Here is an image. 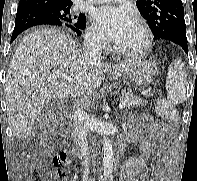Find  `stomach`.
<instances>
[{
  "label": "stomach",
  "mask_w": 197,
  "mask_h": 181,
  "mask_svg": "<svg viewBox=\"0 0 197 181\" xmlns=\"http://www.w3.org/2000/svg\"><path fill=\"white\" fill-rule=\"evenodd\" d=\"M158 73V67L151 60H134L127 73L130 80L138 87L149 85Z\"/></svg>",
  "instance_id": "stomach-1"
}]
</instances>
